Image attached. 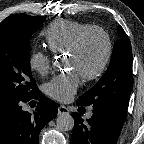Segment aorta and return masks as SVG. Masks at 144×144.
<instances>
[{
  "mask_svg": "<svg viewBox=\"0 0 144 144\" xmlns=\"http://www.w3.org/2000/svg\"><path fill=\"white\" fill-rule=\"evenodd\" d=\"M56 124L61 131H70L74 127V119L69 113H62L56 119Z\"/></svg>",
  "mask_w": 144,
  "mask_h": 144,
  "instance_id": "obj_1",
  "label": "aorta"
}]
</instances>
